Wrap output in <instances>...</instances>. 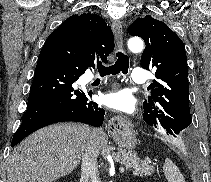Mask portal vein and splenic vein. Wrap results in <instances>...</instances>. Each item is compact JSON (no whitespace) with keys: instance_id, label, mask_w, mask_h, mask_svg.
Wrapping results in <instances>:
<instances>
[{"instance_id":"obj_1","label":"portal vein and splenic vein","mask_w":211,"mask_h":182,"mask_svg":"<svg viewBox=\"0 0 211 182\" xmlns=\"http://www.w3.org/2000/svg\"><path fill=\"white\" fill-rule=\"evenodd\" d=\"M120 173H124L125 169L124 167L119 168Z\"/></svg>"}]
</instances>
